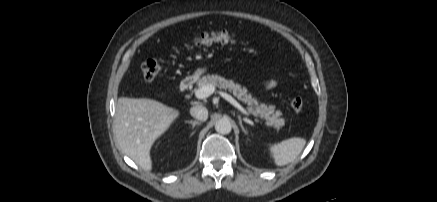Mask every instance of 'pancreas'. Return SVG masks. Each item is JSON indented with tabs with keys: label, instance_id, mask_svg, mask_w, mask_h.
Masks as SVG:
<instances>
[{
	"label": "pancreas",
	"instance_id": "1",
	"mask_svg": "<svg viewBox=\"0 0 437 202\" xmlns=\"http://www.w3.org/2000/svg\"><path fill=\"white\" fill-rule=\"evenodd\" d=\"M205 85H212L214 88L224 89L231 92L237 99L241 100L248 106V111L253 115L265 120L267 126L279 130L285 125V120L281 118L282 112L275 110L274 105H266L259 101L248 92L247 88L233 80H227L219 75H206L197 81L195 91Z\"/></svg>",
	"mask_w": 437,
	"mask_h": 202
}]
</instances>
